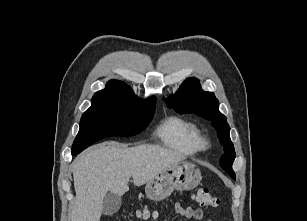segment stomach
Listing matches in <instances>:
<instances>
[{
	"mask_svg": "<svg viewBox=\"0 0 307 221\" xmlns=\"http://www.w3.org/2000/svg\"><path fill=\"white\" fill-rule=\"evenodd\" d=\"M200 169L193 163L180 161L167 167L145 187L146 196L154 201H160L174 190H192L201 181Z\"/></svg>",
	"mask_w": 307,
	"mask_h": 221,
	"instance_id": "0dacf381",
	"label": "stomach"
}]
</instances>
